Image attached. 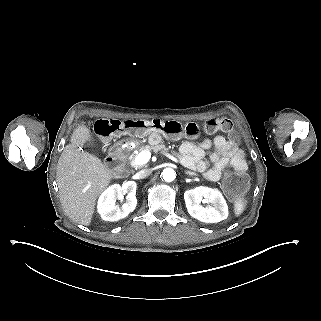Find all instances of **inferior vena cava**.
<instances>
[{"label": "inferior vena cava", "instance_id": "inferior-vena-cava-1", "mask_svg": "<svg viewBox=\"0 0 321 321\" xmlns=\"http://www.w3.org/2000/svg\"><path fill=\"white\" fill-rule=\"evenodd\" d=\"M152 173V170L151 169H143V170H140L137 175H138V178L139 179H143V178H146L148 177L149 175H151Z\"/></svg>", "mask_w": 321, "mask_h": 321}]
</instances>
